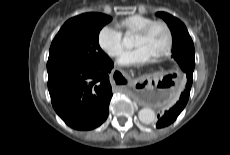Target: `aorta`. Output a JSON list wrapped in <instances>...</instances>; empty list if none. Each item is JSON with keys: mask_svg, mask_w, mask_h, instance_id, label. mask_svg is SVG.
Returning <instances> with one entry per match:
<instances>
[{"mask_svg": "<svg viewBox=\"0 0 230 155\" xmlns=\"http://www.w3.org/2000/svg\"><path fill=\"white\" fill-rule=\"evenodd\" d=\"M138 117L139 120L144 124H151L156 119L154 110L149 107L142 108L138 113Z\"/></svg>", "mask_w": 230, "mask_h": 155, "instance_id": "762f6f07", "label": "aorta"}]
</instances>
